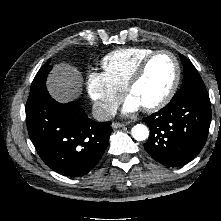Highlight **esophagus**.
<instances>
[{"mask_svg":"<svg viewBox=\"0 0 221 221\" xmlns=\"http://www.w3.org/2000/svg\"><path fill=\"white\" fill-rule=\"evenodd\" d=\"M126 125H127L126 123L113 122L111 126H112V128L117 129V128L124 127Z\"/></svg>","mask_w":221,"mask_h":221,"instance_id":"esophagus-1","label":"esophagus"}]
</instances>
